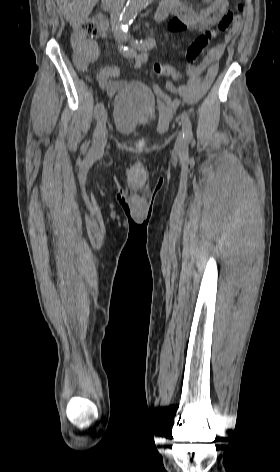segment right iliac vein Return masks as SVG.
Returning a JSON list of instances; mask_svg holds the SVG:
<instances>
[{
    "mask_svg": "<svg viewBox=\"0 0 280 472\" xmlns=\"http://www.w3.org/2000/svg\"><path fill=\"white\" fill-rule=\"evenodd\" d=\"M106 122H107V112L102 110L100 113L95 132L93 137V144L91 147L92 156H100L103 153L104 147L106 145Z\"/></svg>",
    "mask_w": 280,
    "mask_h": 472,
    "instance_id": "1",
    "label": "right iliac vein"
}]
</instances>
